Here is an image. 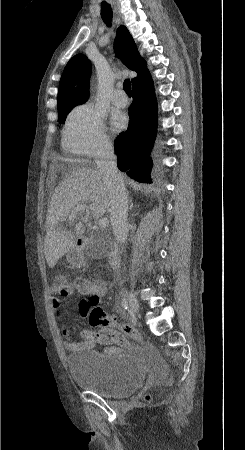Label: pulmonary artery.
<instances>
[{
    "instance_id": "obj_1",
    "label": "pulmonary artery",
    "mask_w": 245,
    "mask_h": 450,
    "mask_svg": "<svg viewBox=\"0 0 245 450\" xmlns=\"http://www.w3.org/2000/svg\"><path fill=\"white\" fill-rule=\"evenodd\" d=\"M112 103L119 107L126 106L128 99L121 86H118L112 95Z\"/></svg>"
}]
</instances>
